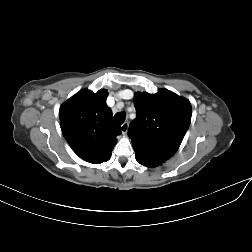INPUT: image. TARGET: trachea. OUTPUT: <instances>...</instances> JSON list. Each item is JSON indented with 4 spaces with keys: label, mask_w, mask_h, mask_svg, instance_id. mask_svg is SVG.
<instances>
[{
    "label": "trachea",
    "mask_w": 252,
    "mask_h": 252,
    "mask_svg": "<svg viewBox=\"0 0 252 252\" xmlns=\"http://www.w3.org/2000/svg\"><path fill=\"white\" fill-rule=\"evenodd\" d=\"M125 118H126V115L124 112H118L114 115V118H113V121L118 124V125H121L124 123L125 121Z\"/></svg>",
    "instance_id": "1"
}]
</instances>
